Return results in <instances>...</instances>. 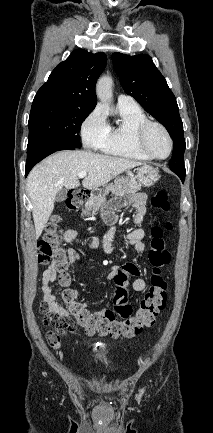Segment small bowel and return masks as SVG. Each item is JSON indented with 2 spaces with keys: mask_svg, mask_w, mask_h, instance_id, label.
Instances as JSON below:
<instances>
[{
  "mask_svg": "<svg viewBox=\"0 0 213 433\" xmlns=\"http://www.w3.org/2000/svg\"><path fill=\"white\" fill-rule=\"evenodd\" d=\"M121 207L132 206L136 209V213L133 217V222L135 225H140L144 217L146 215V195L143 193H136L131 195L127 200L121 202ZM105 220L107 223L111 224V227L106 231L102 236L96 237L94 240L88 243L89 246H97L100 245L105 254H112L114 251L113 248V239L116 234V228L114 226L115 216L113 214H106ZM78 237V231L72 227H67L62 232V240L64 243L69 244L74 239ZM145 232L141 228H136L126 234V239L128 243L133 247V249L137 253H143L145 251V243H144ZM81 259L80 254L75 250L69 251V257L64 263V268L67 270L71 267L76 261ZM120 269H127L130 276L136 277L131 284V287L136 292L143 291L147 282L145 279L140 277V270L137 265L128 263L124 266H113L112 271L109 275L110 279H113L114 275ZM61 271L55 263H52L43 273L42 277V292H43V300L47 306V310L49 314L61 317V318H70L71 314L67 308L60 304L57 297L53 291V283L60 276ZM77 295V292H76ZM111 309H104L99 312H105ZM47 339L49 343L54 348L60 347L59 335L55 332H49L47 334Z\"/></svg>",
  "mask_w": 213,
  "mask_h": 433,
  "instance_id": "small-bowel-1",
  "label": "small bowel"
}]
</instances>
